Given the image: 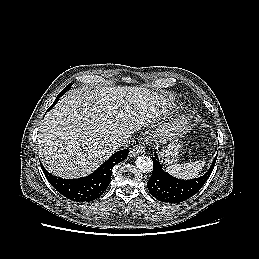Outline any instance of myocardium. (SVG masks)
I'll return each mask as SVG.
<instances>
[{
  "mask_svg": "<svg viewBox=\"0 0 259 259\" xmlns=\"http://www.w3.org/2000/svg\"><path fill=\"white\" fill-rule=\"evenodd\" d=\"M193 120V115L190 113H184L178 117L174 123L176 129L186 128Z\"/></svg>",
  "mask_w": 259,
  "mask_h": 259,
  "instance_id": "obj_1",
  "label": "myocardium"
}]
</instances>
